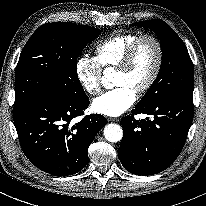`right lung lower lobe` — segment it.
Wrapping results in <instances>:
<instances>
[{
  "label": "right lung lower lobe",
  "mask_w": 206,
  "mask_h": 206,
  "mask_svg": "<svg viewBox=\"0 0 206 206\" xmlns=\"http://www.w3.org/2000/svg\"><path fill=\"white\" fill-rule=\"evenodd\" d=\"M88 106L86 95L78 99L46 95L13 110L21 148L37 168L67 176L86 166L88 147L107 123L104 116L92 114L70 125Z\"/></svg>",
  "instance_id": "right-lung-lower-lobe-1"
}]
</instances>
